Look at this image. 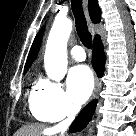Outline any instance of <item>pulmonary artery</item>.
I'll return each mask as SVG.
<instances>
[{"label": "pulmonary artery", "mask_w": 136, "mask_h": 136, "mask_svg": "<svg viewBox=\"0 0 136 136\" xmlns=\"http://www.w3.org/2000/svg\"><path fill=\"white\" fill-rule=\"evenodd\" d=\"M70 53L72 57L78 61H83L86 58L85 52L81 46H74Z\"/></svg>", "instance_id": "e3ab8cb5"}]
</instances>
